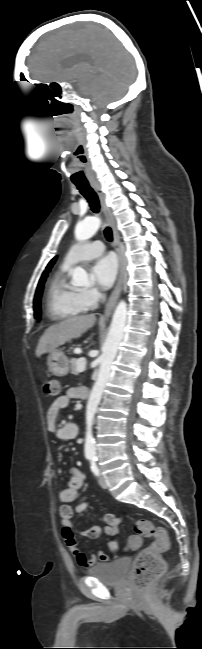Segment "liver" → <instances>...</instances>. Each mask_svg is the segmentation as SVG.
Masks as SVG:
<instances>
[{"label": "liver", "mask_w": 202, "mask_h": 649, "mask_svg": "<svg viewBox=\"0 0 202 649\" xmlns=\"http://www.w3.org/2000/svg\"><path fill=\"white\" fill-rule=\"evenodd\" d=\"M95 321V315L90 314L71 317L50 326L45 330L39 340L35 351L36 357H40L45 353H51L67 341L80 337L94 325Z\"/></svg>", "instance_id": "1"}]
</instances>
